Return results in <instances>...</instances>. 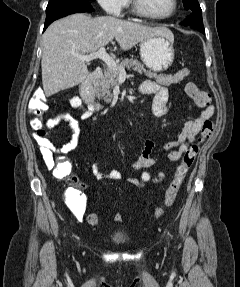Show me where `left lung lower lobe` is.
<instances>
[{"label": "left lung lower lobe", "instance_id": "0a47b994", "mask_svg": "<svg viewBox=\"0 0 240 287\" xmlns=\"http://www.w3.org/2000/svg\"><path fill=\"white\" fill-rule=\"evenodd\" d=\"M193 14L188 16L182 24L185 26H190L193 29H196L203 34H205L204 26H203V21H202V10L201 8L198 9H193Z\"/></svg>", "mask_w": 240, "mask_h": 287}]
</instances>
